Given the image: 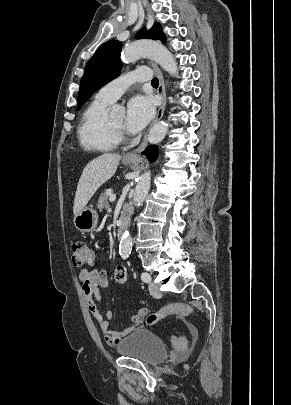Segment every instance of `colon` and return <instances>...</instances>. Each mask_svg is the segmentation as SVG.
I'll use <instances>...</instances> for the list:
<instances>
[{
  "label": "colon",
  "instance_id": "5ec220e1",
  "mask_svg": "<svg viewBox=\"0 0 291 405\" xmlns=\"http://www.w3.org/2000/svg\"><path fill=\"white\" fill-rule=\"evenodd\" d=\"M96 255L94 250L84 241H77L72 246V263L75 267H86L95 264ZM127 272L124 266H117L114 270V281L117 285H125ZM193 314L191 307L185 304L176 303L163 307L156 313L147 317V323L153 325L160 319L169 315H181L189 317ZM171 344L177 350H184L187 347V340L184 337L172 336Z\"/></svg>",
  "mask_w": 291,
  "mask_h": 405
}]
</instances>
